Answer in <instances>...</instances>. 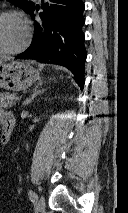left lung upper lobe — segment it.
<instances>
[{
  "instance_id": "5c2ea615",
  "label": "left lung upper lobe",
  "mask_w": 128,
  "mask_h": 213,
  "mask_svg": "<svg viewBox=\"0 0 128 213\" xmlns=\"http://www.w3.org/2000/svg\"><path fill=\"white\" fill-rule=\"evenodd\" d=\"M11 1L14 5L21 7L24 9L27 13L34 7V4L32 2H28L26 0H9Z\"/></svg>"
}]
</instances>
